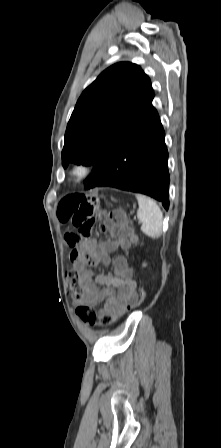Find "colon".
<instances>
[{"mask_svg": "<svg viewBox=\"0 0 221 448\" xmlns=\"http://www.w3.org/2000/svg\"><path fill=\"white\" fill-rule=\"evenodd\" d=\"M99 197L97 195L69 194L63 197L58 205L57 214L62 222H70L75 228V232L81 239H87L96 224L95 212L99 207ZM111 220L115 224H124V219L117 214L111 215ZM89 256L84 260L89 262ZM66 280L69 286V295L74 301H79L82 297L84 278L77 269L69 267L66 270ZM145 298V289L138 288L137 296L129 306V310L138 308ZM78 316L82 321L89 325L98 323L96 313L93 309L86 305H79L76 309ZM116 320L115 316H107L102 322L112 323Z\"/></svg>", "mask_w": 221, "mask_h": 448, "instance_id": "obj_1", "label": "colon"}]
</instances>
